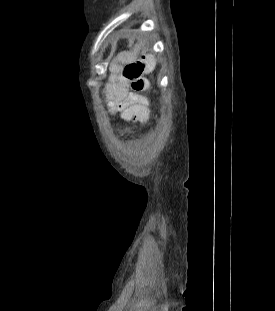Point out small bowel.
Listing matches in <instances>:
<instances>
[{"mask_svg": "<svg viewBox=\"0 0 275 311\" xmlns=\"http://www.w3.org/2000/svg\"><path fill=\"white\" fill-rule=\"evenodd\" d=\"M133 54L123 52L112 62L113 77L112 84L107 90V97L111 107L119 111L124 120L145 121L148 117V99L134 90L131 81L126 77L125 70L135 57H153L154 53L153 50L135 48Z\"/></svg>", "mask_w": 275, "mask_h": 311, "instance_id": "small-bowel-1", "label": "small bowel"}]
</instances>
